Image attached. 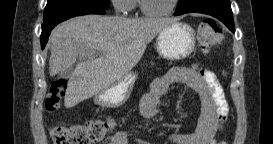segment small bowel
Masks as SVG:
<instances>
[{
    "label": "small bowel",
    "mask_w": 273,
    "mask_h": 144,
    "mask_svg": "<svg viewBox=\"0 0 273 144\" xmlns=\"http://www.w3.org/2000/svg\"><path fill=\"white\" fill-rule=\"evenodd\" d=\"M183 83L196 91L201 99V114L194 132L173 133L170 140L176 144H215V134L228 118V105L223 89L216 75L207 69H190L175 67L151 84L140 103L139 112L145 119H151L157 114V104L172 83ZM104 143L128 144V136L119 131Z\"/></svg>",
    "instance_id": "1"
}]
</instances>
